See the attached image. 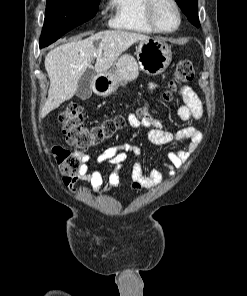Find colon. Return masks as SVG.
<instances>
[{"mask_svg":"<svg viewBox=\"0 0 247 296\" xmlns=\"http://www.w3.org/2000/svg\"><path fill=\"white\" fill-rule=\"evenodd\" d=\"M194 76L192 63L189 60H182L178 62L174 70L170 86L175 88L179 84L191 82ZM170 98L171 93L164 94L165 100L168 101ZM59 121L68 144L76 149L75 153L60 146H55L53 149V154L65 175L66 183L73 182L79 170L80 160L77 152L84 153L99 145L124 126V119L121 116L107 118L96 125L89 126L85 122L82 106L76 103L69 105L59 115Z\"/></svg>","mask_w":247,"mask_h":296,"instance_id":"5ec220e1","label":"colon"}]
</instances>
